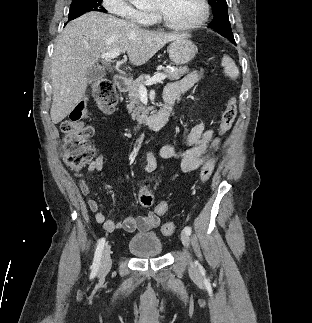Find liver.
<instances>
[{
	"instance_id": "6515ba94",
	"label": "liver",
	"mask_w": 312,
	"mask_h": 323,
	"mask_svg": "<svg viewBox=\"0 0 312 323\" xmlns=\"http://www.w3.org/2000/svg\"><path fill=\"white\" fill-rule=\"evenodd\" d=\"M182 34L149 32L110 14L89 12L72 20L55 40L51 80L53 124L64 120L85 96L86 74L102 54L119 50L133 66H143L168 42Z\"/></svg>"
}]
</instances>
